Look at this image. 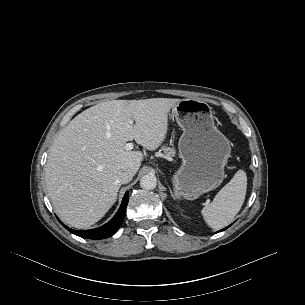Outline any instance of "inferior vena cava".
Wrapping results in <instances>:
<instances>
[{
  "label": "inferior vena cava",
  "mask_w": 305,
  "mask_h": 305,
  "mask_svg": "<svg viewBox=\"0 0 305 305\" xmlns=\"http://www.w3.org/2000/svg\"><path fill=\"white\" fill-rule=\"evenodd\" d=\"M135 175V172L131 169H122L118 173L117 180L121 184L129 183Z\"/></svg>",
  "instance_id": "obj_1"
}]
</instances>
